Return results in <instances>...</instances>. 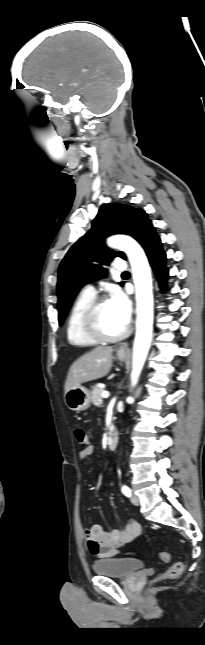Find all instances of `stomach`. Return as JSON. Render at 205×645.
<instances>
[{
	"instance_id": "1",
	"label": "stomach",
	"mask_w": 205,
	"mask_h": 645,
	"mask_svg": "<svg viewBox=\"0 0 205 645\" xmlns=\"http://www.w3.org/2000/svg\"><path fill=\"white\" fill-rule=\"evenodd\" d=\"M117 358L123 361L126 359V354L117 352ZM91 400V392L81 385L70 388L64 394V402L66 406L73 411L87 410L91 405Z\"/></svg>"
}]
</instances>
